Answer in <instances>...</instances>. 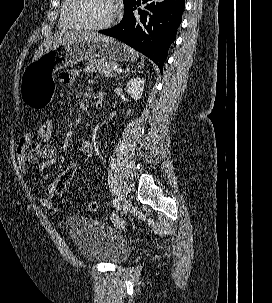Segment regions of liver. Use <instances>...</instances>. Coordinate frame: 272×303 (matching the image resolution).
Here are the masks:
<instances>
[{"label":"liver","mask_w":272,"mask_h":303,"mask_svg":"<svg viewBox=\"0 0 272 303\" xmlns=\"http://www.w3.org/2000/svg\"><path fill=\"white\" fill-rule=\"evenodd\" d=\"M107 37L96 32L88 31H62L48 36L36 50L32 61L39 59L49 50L58 47L61 44L72 42L94 41L97 39H105Z\"/></svg>","instance_id":"obj_1"}]
</instances>
